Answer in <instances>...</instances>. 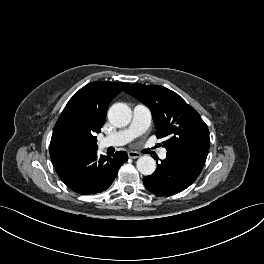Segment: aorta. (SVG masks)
<instances>
[{"label":"aorta","mask_w":264,"mask_h":264,"mask_svg":"<svg viewBox=\"0 0 264 264\" xmlns=\"http://www.w3.org/2000/svg\"><path fill=\"white\" fill-rule=\"evenodd\" d=\"M108 119L118 127L127 126L132 119V111L125 103H115L108 111ZM136 167L143 175H151L156 169V162L151 156H142L137 160Z\"/></svg>","instance_id":"aorta-1"}]
</instances>
